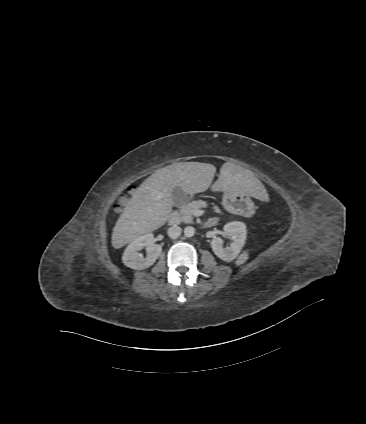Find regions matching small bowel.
<instances>
[{
	"label": "small bowel",
	"mask_w": 366,
	"mask_h": 424,
	"mask_svg": "<svg viewBox=\"0 0 366 424\" xmlns=\"http://www.w3.org/2000/svg\"><path fill=\"white\" fill-rule=\"evenodd\" d=\"M211 224H214L216 222V218L211 219Z\"/></svg>",
	"instance_id": "c3829d8e"
}]
</instances>
